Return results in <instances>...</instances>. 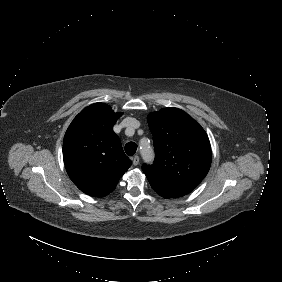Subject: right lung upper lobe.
Here are the masks:
<instances>
[{
    "instance_id": "obj_1",
    "label": "right lung upper lobe",
    "mask_w": 282,
    "mask_h": 282,
    "mask_svg": "<svg viewBox=\"0 0 282 282\" xmlns=\"http://www.w3.org/2000/svg\"><path fill=\"white\" fill-rule=\"evenodd\" d=\"M122 113L105 103L84 108L68 127L63 159L73 183L84 193L104 197L111 193L131 166L113 126Z\"/></svg>"
}]
</instances>
